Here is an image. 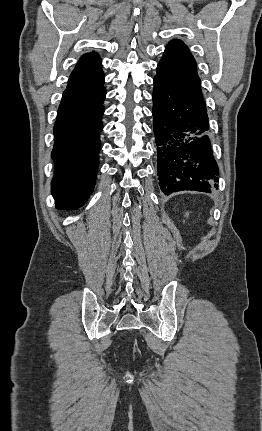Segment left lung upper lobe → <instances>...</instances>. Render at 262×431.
Returning a JSON list of instances; mask_svg holds the SVG:
<instances>
[{"label":"left lung upper lobe","instance_id":"5c2ea615","mask_svg":"<svg viewBox=\"0 0 262 431\" xmlns=\"http://www.w3.org/2000/svg\"><path fill=\"white\" fill-rule=\"evenodd\" d=\"M155 78L163 80L206 108L201 93V81L196 71V62L181 40H172L166 46Z\"/></svg>","mask_w":262,"mask_h":431}]
</instances>
